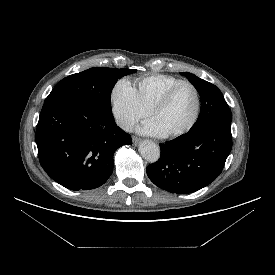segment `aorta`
Returning <instances> with one entry per match:
<instances>
[{
	"label": "aorta",
	"instance_id": "1",
	"mask_svg": "<svg viewBox=\"0 0 275 275\" xmlns=\"http://www.w3.org/2000/svg\"><path fill=\"white\" fill-rule=\"evenodd\" d=\"M139 152L142 157L150 163L158 161L160 157L159 146L150 140H145L140 144Z\"/></svg>",
	"mask_w": 275,
	"mask_h": 275
}]
</instances>
